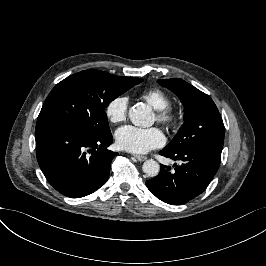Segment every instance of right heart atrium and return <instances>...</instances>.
I'll use <instances>...</instances> for the list:
<instances>
[{
	"label": "right heart atrium",
	"mask_w": 266,
	"mask_h": 266,
	"mask_svg": "<svg viewBox=\"0 0 266 266\" xmlns=\"http://www.w3.org/2000/svg\"><path fill=\"white\" fill-rule=\"evenodd\" d=\"M129 98L119 94L111 98L105 106L104 112L107 120L112 124L123 122L128 115Z\"/></svg>",
	"instance_id": "obj_1"
}]
</instances>
